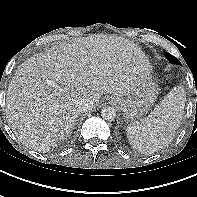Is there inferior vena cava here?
<instances>
[{"instance_id": "obj_1", "label": "inferior vena cava", "mask_w": 197, "mask_h": 197, "mask_svg": "<svg viewBox=\"0 0 197 197\" xmlns=\"http://www.w3.org/2000/svg\"><path fill=\"white\" fill-rule=\"evenodd\" d=\"M93 107V101L89 98L81 99L77 104V109L79 113L86 112Z\"/></svg>"}]
</instances>
